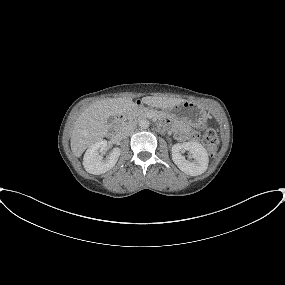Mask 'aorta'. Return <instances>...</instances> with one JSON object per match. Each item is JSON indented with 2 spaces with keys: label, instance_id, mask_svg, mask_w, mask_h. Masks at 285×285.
Here are the masks:
<instances>
[{
  "label": "aorta",
  "instance_id": "obj_1",
  "mask_svg": "<svg viewBox=\"0 0 285 285\" xmlns=\"http://www.w3.org/2000/svg\"><path fill=\"white\" fill-rule=\"evenodd\" d=\"M139 127L141 129H147L149 127V121L147 119H141L139 121Z\"/></svg>",
  "mask_w": 285,
  "mask_h": 285
}]
</instances>
